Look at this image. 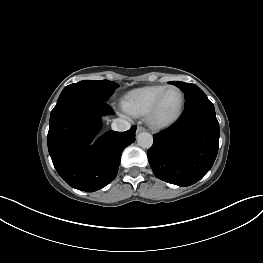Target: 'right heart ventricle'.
I'll list each match as a JSON object with an SVG mask.
<instances>
[{"label":"right heart ventricle","mask_w":263,"mask_h":263,"mask_svg":"<svg viewBox=\"0 0 263 263\" xmlns=\"http://www.w3.org/2000/svg\"><path fill=\"white\" fill-rule=\"evenodd\" d=\"M166 87V85H152L129 91L121 101L123 110L133 117L146 116L156 98Z\"/></svg>","instance_id":"1"}]
</instances>
